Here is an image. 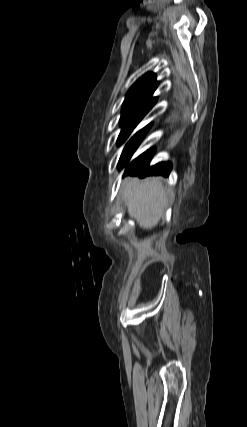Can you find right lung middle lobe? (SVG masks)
<instances>
[{"instance_id":"dd1d6c3e","label":"right lung middle lobe","mask_w":247,"mask_h":427,"mask_svg":"<svg viewBox=\"0 0 247 427\" xmlns=\"http://www.w3.org/2000/svg\"><path fill=\"white\" fill-rule=\"evenodd\" d=\"M144 113H127L122 114L120 123L122 126L120 135L118 137V145H121L130 135L136 125L143 119Z\"/></svg>"}]
</instances>
